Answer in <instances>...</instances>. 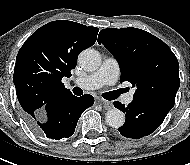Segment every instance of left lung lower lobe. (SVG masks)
<instances>
[{"label":"left lung lower lobe","instance_id":"left-lung-lower-lobe-1","mask_svg":"<svg viewBox=\"0 0 190 165\" xmlns=\"http://www.w3.org/2000/svg\"><path fill=\"white\" fill-rule=\"evenodd\" d=\"M114 106L126 116L124 125L118 128L119 133L127 138L138 139L154 132L164 121L172 107L146 101H132L127 107L118 101Z\"/></svg>","mask_w":190,"mask_h":165}]
</instances>
